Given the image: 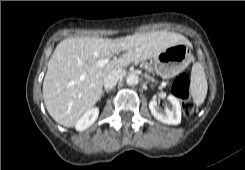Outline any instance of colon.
Wrapping results in <instances>:
<instances>
[{
    "label": "colon",
    "instance_id": "1",
    "mask_svg": "<svg viewBox=\"0 0 245 170\" xmlns=\"http://www.w3.org/2000/svg\"><path fill=\"white\" fill-rule=\"evenodd\" d=\"M171 91L182 101L181 106L184 116H191L194 111V106L189 100V76L187 73L182 72L175 78Z\"/></svg>",
    "mask_w": 245,
    "mask_h": 170
}]
</instances>
